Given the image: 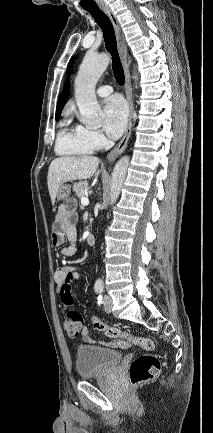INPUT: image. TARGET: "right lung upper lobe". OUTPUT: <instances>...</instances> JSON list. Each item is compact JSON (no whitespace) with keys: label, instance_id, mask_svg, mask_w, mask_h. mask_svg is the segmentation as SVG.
Returning a JSON list of instances; mask_svg holds the SVG:
<instances>
[{"label":"right lung upper lobe","instance_id":"1","mask_svg":"<svg viewBox=\"0 0 213 433\" xmlns=\"http://www.w3.org/2000/svg\"><path fill=\"white\" fill-rule=\"evenodd\" d=\"M69 96V76L66 79L65 86L56 107V120L59 119L65 102Z\"/></svg>","mask_w":213,"mask_h":433}]
</instances>
